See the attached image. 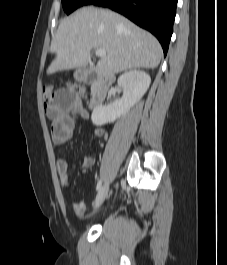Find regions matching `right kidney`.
Instances as JSON below:
<instances>
[{"mask_svg":"<svg viewBox=\"0 0 227 265\" xmlns=\"http://www.w3.org/2000/svg\"><path fill=\"white\" fill-rule=\"evenodd\" d=\"M150 83L151 78L144 71L131 70L122 74L118 86L123 89V97L107 106L95 107L91 115L93 124L102 126L125 115L143 97Z\"/></svg>","mask_w":227,"mask_h":265,"instance_id":"right-kidney-1","label":"right kidney"}]
</instances>
